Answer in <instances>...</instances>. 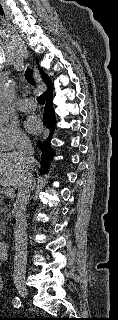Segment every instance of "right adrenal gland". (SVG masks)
Wrapping results in <instances>:
<instances>
[{
    "instance_id": "right-adrenal-gland-1",
    "label": "right adrenal gland",
    "mask_w": 118,
    "mask_h": 320,
    "mask_svg": "<svg viewBox=\"0 0 118 320\" xmlns=\"http://www.w3.org/2000/svg\"><path fill=\"white\" fill-rule=\"evenodd\" d=\"M35 188V181H34V186H33V189Z\"/></svg>"
}]
</instances>
